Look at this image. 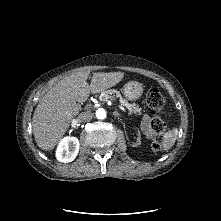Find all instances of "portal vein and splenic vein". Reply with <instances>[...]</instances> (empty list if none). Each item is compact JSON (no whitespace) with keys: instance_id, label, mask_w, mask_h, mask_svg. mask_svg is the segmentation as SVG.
I'll use <instances>...</instances> for the list:
<instances>
[{"instance_id":"portal-vein-and-splenic-vein-1","label":"portal vein and splenic vein","mask_w":221,"mask_h":221,"mask_svg":"<svg viewBox=\"0 0 221 221\" xmlns=\"http://www.w3.org/2000/svg\"><path fill=\"white\" fill-rule=\"evenodd\" d=\"M119 108H120L122 111H125V108H124V107L119 106Z\"/></svg>"}]
</instances>
